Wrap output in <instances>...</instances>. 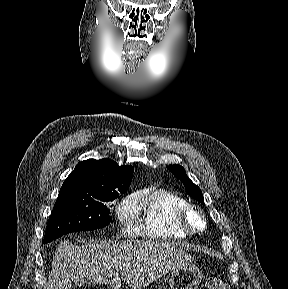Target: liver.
<instances>
[{"mask_svg": "<svg viewBox=\"0 0 288 289\" xmlns=\"http://www.w3.org/2000/svg\"><path fill=\"white\" fill-rule=\"evenodd\" d=\"M192 259L169 242L100 240L75 246L64 240L56 248L47 289H71L73 272L94 284L118 289L122 280L132 289H142Z\"/></svg>", "mask_w": 288, "mask_h": 289, "instance_id": "6515ba94", "label": "liver"}]
</instances>
